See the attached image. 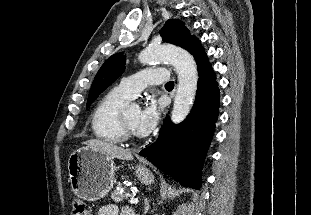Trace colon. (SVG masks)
Here are the masks:
<instances>
[{
	"label": "colon",
	"mask_w": 311,
	"mask_h": 215,
	"mask_svg": "<svg viewBox=\"0 0 311 215\" xmlns=\"http://www.w3.org/2000/svg\"><path fill=\"white\" fill-rule=\"evenodd\" d=\"M72 215H92L89 205L81 200L74 199L72 203Z\"/></svg>",
	"instance_id": "5ec220e1"
}]
</instances>
